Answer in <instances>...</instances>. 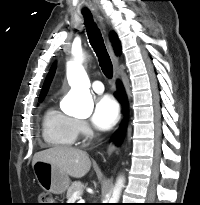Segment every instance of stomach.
<instances>
[{
  "label": "stomach",
  "instance_id": "1",
  "mask_svg": "<svg viewBox=\"0 0 200 205\" xmlns=\"http://www.w3.org/2000/svg\"><path fill=\"white\" fill-rule=\"evenodd\" d=\"M33 171L38 184L47 192L63 194L69 187V176L53 164L38 161Z\"/></svg>",
  "mask_w": 200,
  "mask_h": 205
}]
</instances>
